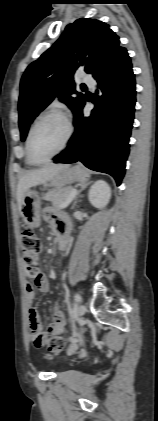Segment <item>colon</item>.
Listing matches in <instances>:
<instances>
[{
    "label": "colon",
    "instance_id": "1",
    "mask_svg": "<svg viewBox=\"0 0 158 421\" xmlns=\"http://www.w3.org/2000/svg\"><path fill=\"white\" fill-rule=\"evenodd\" d=\"M21 248L23 253V258L26 263V266L33 268L41 253L42 243L40 238L29 228H26L21 233ZM36 344H40V340L36 339ZM44 343L47 346L48 355L51 356L55 353L60 352L64 349L66 342L65 340L58 335L49 336Z\"/></svg>",
    "mask_w": 158,
    "mask_h": 421
}]
</instances>
